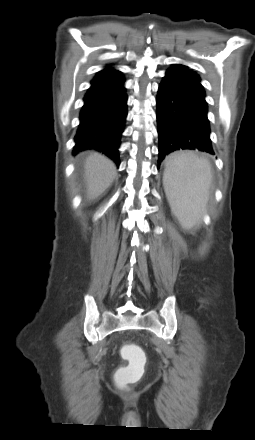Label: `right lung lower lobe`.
<instances>
[{"label":"right lung lower lobe","instance_id":"98d812e1","mask_svg":"<svg viewBox=\"0 0 255 440\" xmlns=\"http://www.w3.org/2000/svg\"><path fill=\"white\" fill-rule=\"evenodd\" d=\"M122 73L116 69L97 74L84 96L73 153L95 149L120 164V139L127 116Z\"/></svg>","mask_w":255,"mask_h":440}]
</instances>
